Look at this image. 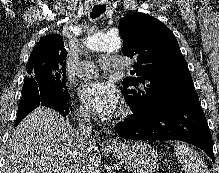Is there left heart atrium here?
<instances>
[{
  "label": "left heart atrium",
  "mask_w": 219,
  "mask_h": 173,
  "mask_svg": "<svg viewBox=\"0 0 219 173\" xmlns=\"http://www.w3.org/2000/svg\"><path fill=\"white\" fill-rule=\"evenodd\" d=\"M79 96L87 108L102 116H113L120 107L119 91L111 82H86L81 85Z\"/></svg>",
  "instance_id": "39dd6f15"
}]
</instances>
